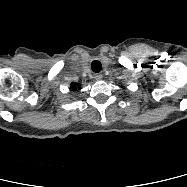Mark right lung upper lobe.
I'll return each mask as SVG.
<instances>
[{"instance_id": "obj_1", "label": "right lung upper lobe", "mask_w": 187, "mask_h": 187, "mask_svg": "<svg viewBox=\"0 0 187 187\" xmlns=\"http://www.w3.org/2000/svg\"><path fill=\"white\" fill-rule=\"evenodd\" d=\"M71 87H72V88H75V87H76V84H71Z\"/></svg>"}]
</instances>
